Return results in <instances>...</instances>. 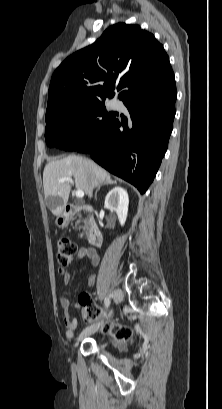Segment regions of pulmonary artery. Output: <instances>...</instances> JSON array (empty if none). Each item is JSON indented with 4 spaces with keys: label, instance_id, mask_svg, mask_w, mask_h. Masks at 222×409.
<instances>
[{
    "label": "pulmonary artery",
    "instance_id": "e3ab8cb5",
    "mask_svg": "<svg viewBox=\"0 0 222 409\" xmlns=\"http://www.w3.org/2000/svg\"><path fill=\"white\" fill-rule=\"evenodd\" d=\"M114 103H115L114 101H111V105H114Z\"/></svg>",
    "mask_w": 222,
    "mask_h": 409
}]
</instances>
